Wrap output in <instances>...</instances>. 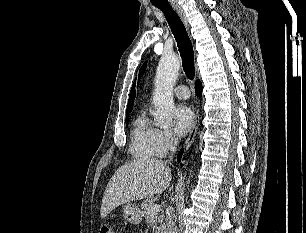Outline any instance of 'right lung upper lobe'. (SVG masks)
Instances as JSON below:
<instances>
[{
  "label": "right lung upper lobe",
  "instance_id": "right-lung-upper-lobe-1",
  "mask_svg": "<svg viewBox=\"0 0 306 233\" xmlns=\"http://www.w3.org/2000/svg\"><path fill=\"white\" fill-rule=\"evenodd\" d=\"M134 98H135V83L133 84V87L131 88V91H130V96H129V101H128V105H127L126 115L130 114V112L133 108Z\"/></svg>",
  "mask_w": 306,
  "mask_h": 233
}]
</instances>
